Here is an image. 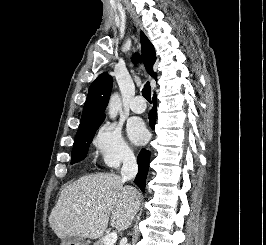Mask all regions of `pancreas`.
<instances>
[{"label":"pancreas","mask_w":266,"mask_h":245,"mask_svg":"<svg viewBox=\"0 0 266 245\" xmlns=\"http://www.w3.org/2000/svg\"><path fill=\"white\" fill-rule=\"evenodd\" d=\"M95 245H103L102 239H100V241H97V243H95Z\"/></svg>","instance_id":"pancreas-1"}]
</instances>
